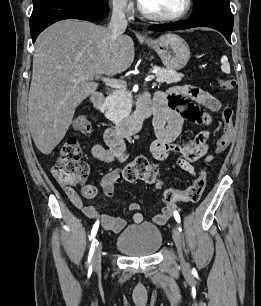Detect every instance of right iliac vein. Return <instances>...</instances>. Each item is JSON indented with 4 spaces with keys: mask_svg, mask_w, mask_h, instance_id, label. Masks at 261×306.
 <instances>
[{
    "mask_svg": "<svg viewBox=\"0 0 261 306\" xmlns=\"http://www.w3.org/2000/svg\"><path fill=\"white\" fill-rule=\"evenodd\" d=\"M101 250H102V244L97 243L96 249L93 256V269L98 270L101 267Z\"/></svg>",
    "mask_w": 261,
    "mask_h": 306,
    "instance_id": "obj_1",
    "label": "right iliac vein"
}]
</instances>
